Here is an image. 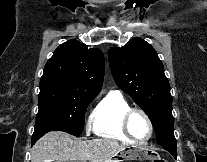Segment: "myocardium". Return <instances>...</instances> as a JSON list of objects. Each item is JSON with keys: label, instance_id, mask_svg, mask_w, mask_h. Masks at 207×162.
<instances>
[{"label": "myocardium", "instance_id": "f54148a6", "mask_svg": "<svg viewBox=\"0 0 207 162\" xmlns=\"http://www.w3.org/2000/svg\"><path fill=\"white\" fill-rule=\"evenodd\" d=\"M135 114H141L145 120L147 121V124H148V127H149V134L148 136L143 139V140H139V139H136L131 131H130V128H129V123H130V120L132 118L133 115ZM121 128H122V131L124 132V134L132 141L136 142V143H146L148 142L151 138H152V135H153V131H154V128H153V123L149 117V115L142 109L140 108H130L124 115H123V118H122V123H121Z\"/></svg>", "mask_w": 207, "mask_h": 162}]
</instances>
